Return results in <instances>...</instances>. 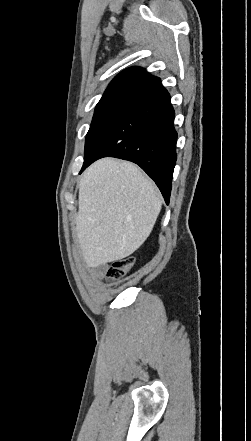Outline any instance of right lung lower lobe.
I'll use <instances>...</instances> for the list:
<instances>
[{"label": "right lung lower lobe", "mask_w": 251, "mask_h": 441, "mask_svg": "<svg viewBox=\"0 0 251 441\" xmlns=\"http://www.w3.org/2000/svg\"><path fill=\"white\" fill-rule=\"evenodd\" d=\"M174 117L170 95L159 84L136 100L105 131L84 160L80 173L102 157L132 161L155 181L169 204L176 163Z\"/></svg>", "instance_id": "1"}]
</instances>
